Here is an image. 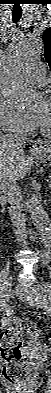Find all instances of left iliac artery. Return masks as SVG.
<instances>
[{
  "label": "left iliac artery",
  "mask_w": 51,
  "mask_h": 393,
  "mask_svg": "<svg viewBox=\"0 0 51 393\" xmlns=\"http://www.w3.org/2000/svg\"><path fill=\"white\" fill-rule=\"evenodd\" d=\"M40 288L43 289L47 293V298H48V300H50L51 299L50 287L48 285H40Z\"/></svg>",
  "instance_id": "left-iliac-artery-1"
}]
</instances>
